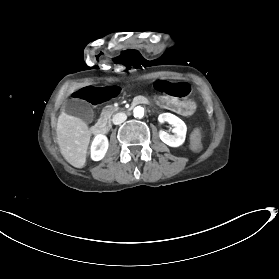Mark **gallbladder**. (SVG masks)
I'll return each mask as SVG.
<instances>
[{"label": "gallbladder", "mask_w": 279, "mask_h": 279, "mask_svg": "<svg viewBox=\"0 0 279 279\" xmlns=\"http://www.w3.org/2000/svg\"><path fill=\"white\" fill-rule=\"evenodd\" d=\"M64 111L65 113L72 114L74 116L79 115L81 120L85 122L93 120L95 116L93 109H91L89 103L85 101L80 103L77 101H71L67 106H65Z\"/></svg>", "instance_id": "gallbladder-1"}]
</instances>
